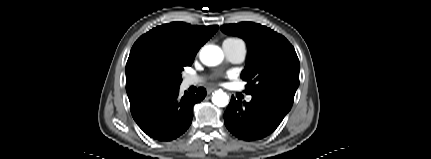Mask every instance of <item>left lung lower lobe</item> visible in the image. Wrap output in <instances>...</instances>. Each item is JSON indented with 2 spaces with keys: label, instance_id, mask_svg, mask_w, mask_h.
<instances>
[{
  "label": "left lung lower lobe",
  "instance_id": "0a47b994",
  "mask_svg": "<svg viewBox=\"0 0 431 159\" xmlns=\"http://www.w3.org/2000/svg\"><path fill=\"white\" fill-rule=\"evenodd\" d=\"M292 105L273 96H253L242 103L233 96L224 113L227 129L238 139L254 141L272 133Z\"/></svg>",
  "mask_w": 431,
  "mask_h": 159
}]
</instances>
